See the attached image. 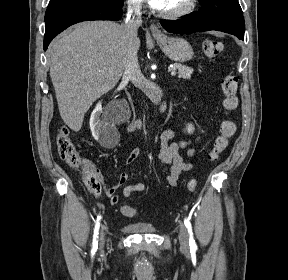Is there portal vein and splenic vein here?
<instances>
[{"mask_svg": "<svg viewBox=\"0 0 288 280\" xmlns=\"http://www.w3.org/2000/svg\"><path fill=\"white\" fill-rule=\"evenodd\" d=\"M171 70V75H176V69H174L173 67L170 69Z\"/></svg>", "mask_w": 288, "mask_h": 280, "instance_id": "1", "label": "portal vein and splenic vein"}]
</instances>
